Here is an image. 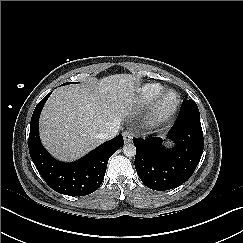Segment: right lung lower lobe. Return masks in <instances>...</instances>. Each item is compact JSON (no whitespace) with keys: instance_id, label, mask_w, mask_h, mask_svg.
Segmentation results:
<instances>
[{"instance_id":"98d812e1","label":"right lung lower lobe","mask_w":243,"mask_h":243,"mask_svg":"<svg viewBox=\"0 0 243 243\" xmlns=\"http://www.w3.org/2000/svg\"><path fill=\"white\" fill-rule=\"evenodd\" d=\"M51 93L36 106L30 125L29 152L41 177L58 193L69 196H85L101 185L109 158L123 144L122 135L109 140L73 163L54 159L42 146L39 138V117Z\"/></svg>"}]
</instances>
